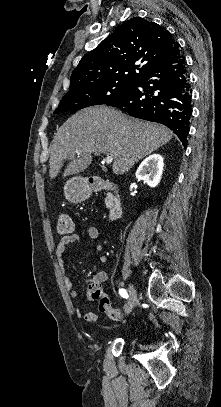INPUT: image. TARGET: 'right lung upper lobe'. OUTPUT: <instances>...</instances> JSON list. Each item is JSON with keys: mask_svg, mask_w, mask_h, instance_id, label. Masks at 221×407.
I'll list each match as a JSON object with an SVG mask.
<instances>
[{"mask_svg": "<svg viewBox=\"0 0 221 407\" xmlns=\"http://www.w3.org/2000/svg\"><path fill=\"white\" fill-rule=\"evenodd\" d=\"M179 46L157 23L131 18L82 57L72 72L68 92L100 83H135Z\"/></svg>", "mask_w": 221, "mask_h": 407, "instance_id": "1", "label": "right lung upper lobe"}]
</instances>
